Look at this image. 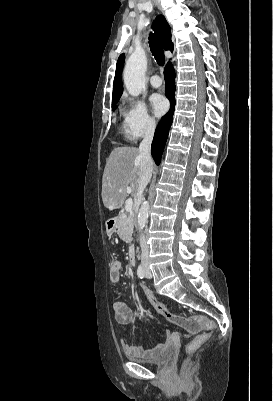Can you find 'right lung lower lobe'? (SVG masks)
Here are the masks:
<instances>
[{
    "label": "right lung lower lobe",
    "mask_w": 273,
    "mask_h": 401,
    "mask_svg": "<svg viewBox=\"0 0 273 401\" xmlns=\"http://www.w3.org/2000/svg\"><path fill=\"white\" fill-rule=\"evenodd\" d=\"M166 80L165 95L171 102L170 110L165 114L156 128L154 139L151 146V154L157 165L160 164L164 146L168 138L169 128L173 121L175 106V73L171 63H168L164 70Z\"/></svg>",
    "instance_id": "98d812e1"
}]
</instances>
